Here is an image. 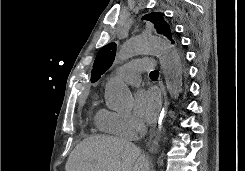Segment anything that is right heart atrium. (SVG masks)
<instances>
[{
	"instance_id": "obj_1",
	"label": "right heart atrium",
	"mask_w": 245,
	"mask_h": 171,
	"mask_svg": "<svg viewBox=\"0 0 245 171\" xmlns=\"http://www.w3.org/2000/svg\"><path fill=\"white\" fill-rule=\"evenodd\" d=\"M99 129L105 133L124 138H134L140 127V122L130 114L102 110L97 118Z\"/></svg>"
}]
</instances>
